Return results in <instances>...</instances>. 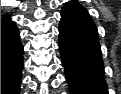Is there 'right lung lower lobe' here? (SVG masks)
Listing matches in <instances>:
<instances>
[{
    "label": "right lung lower lobe",
    "mask_w": 121,
    "mask_h": 94,
    "mask_svg": "<svg viewBox=\"0 0 121 94\" xmlns=\"http://www.w3.org/2000/svg\"><path fill=\"white\" fill-rule=\"evenodd\" d=\"M23 46L19 31L8 17L1 19V94H19Z\"/></svg>",
    "instance_id": "1"
}]
</instances>
